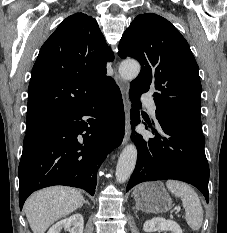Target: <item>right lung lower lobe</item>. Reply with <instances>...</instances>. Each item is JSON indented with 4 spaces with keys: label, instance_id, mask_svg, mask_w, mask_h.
Returning <instances> with one entry per match:
<instances>
[{
    "label": "right lung lower lobe",
    "instance_id": "right-lung-lower-lobe-1",
    "mask_svg": "<svg viewBox=\"0 0 227 233\" xmlns=\"http://www.w3.org/2000/svg\"><path fill=\"white\" fill-rule=\"evenodd\" d=\"M123 134L122 97L113 79L86 106L27 132L18 169L20 209L32 192L53 185L94 195L98 168Z\"/></svg>",
    "mask_w": 227,
    "mask_h": 233
}]
</instances>
